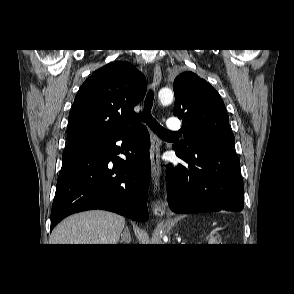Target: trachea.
Segmentation results:
<instances>
[{
  "instance_id": "obj_1",
  "label": "trachea",
  "mask_w": 294,
  "mask_h": 294,
  "mask_svg": "<svg viewBox=\"0 0 294 294\" xmlns=\"http://www.w3.org/2000/svg\"><path fill=\"white\" fill-rule=\"evenodd\" d=\"M152 103H153V96L152 93H149L146 102H145V109L140 115V120L145 122L150 129L156 133L159 137H167L170 135H176V132L169 131L162 127L156 119L152 116L151 114V108H152Z\"/></svg>"
}]
</instances>
